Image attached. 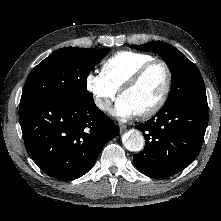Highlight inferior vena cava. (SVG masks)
Returning a JSON list of instances; mask_svg holds the SVG:
<instances>
[{"instance_id":"inferior-vena-cava-1","label":"inferior vena cava","mask_w":221,"mask_h":221,"mask_svg":"<svg viewBox=\"0 0 221 221\" xmlns=\"http://www.w3.org/2000/svg\"><path fill=\"white\" fill-rule=\"evenodd\" d=\"M97 105L102 110L108 109V106H109V104L107 102L103 101L102 99L97 100Z\"/></svg>"}]
</instances>
